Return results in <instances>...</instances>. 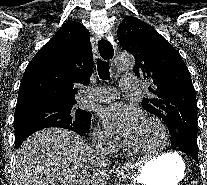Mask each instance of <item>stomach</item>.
<instances>
[{"label":"stomach","mask_w":207,"mask_h":185,"mask_svg":"<svg viewBox=\"0 0 207 185\" xmlns=\"http://www.w3.org/2000/svg\"><path fill=\"white\" fill-rule=\"evenodd\" d=\"M184 174L182 158L176 153H167L146 162L136 182L143 185H177Z\"/></svg>","instance_id":"0dacf381"}]
</instances>
